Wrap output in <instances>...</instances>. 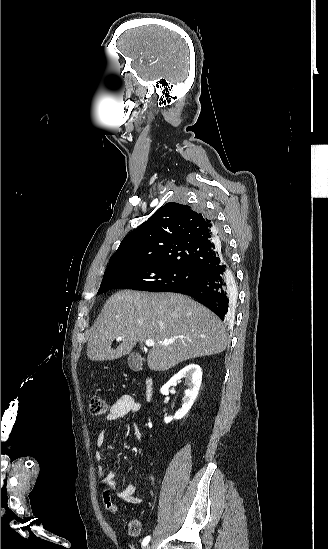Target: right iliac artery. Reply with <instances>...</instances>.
I'll return each instance as SVG.
<instances>
[{
  "instance_id": "82829eb1",
  "label": "right iliac artery",
  "mask_w": 328,
  "mask_h": 549,
  "mask_svg": "<svg viewBox=\"0 0 328 549\" xmlns=\"http://www.w3.org/2000/svg\"><path fill=\"white\" fill-rule=\"evenodd\" d=\"M150 541V536H147L143 539L142 546H146L148 542Z\"/></svg>"
}]
</instances>
